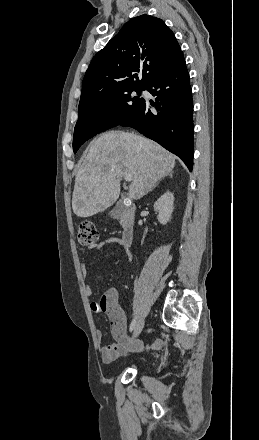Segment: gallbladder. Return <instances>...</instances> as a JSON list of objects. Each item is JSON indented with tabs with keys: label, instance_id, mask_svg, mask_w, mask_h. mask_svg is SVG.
Masks as SVG:
<instances>
[{
	"label": "gallbladder",
	"instance_id": "gallbladder-1",
	"mask_svg": "<svg viewBox=\"0 0 259 440\" xmlns=\"http://www.w3.org/2000/svg\"><path fill=\"white\" fill-rule=\"evenodd\" d=\"M125 209H126V207H125L123 201L120 200L119 202H117L115 207L110 211L109 215L111 218L117 219L122 215V213L124 212Z\"/></svg>",
	"mask_w": 259,
	"mask_h": 440
}]
</instances>
